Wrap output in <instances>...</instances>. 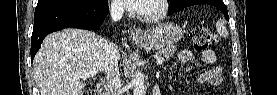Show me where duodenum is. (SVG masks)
<instances>
[{"instance_id": "duodenum-1", "label": "duodenum", "mask_w": 277, "mask_h": 95, "mask_svg": "<svg viewBox=\"0 0 277 95\" xmlns=\"http://www.w3.org/2000/svg\"><path fill=\"white\" fill-rule=\"evenodd\" d=\"M108 89H107V85L102 83V84H99L98 87H97V94H100V95H108ZM152 94H160L159 93V87L157 84H155L153 86V91H152Z\"/></svg>"}]
</instances>
